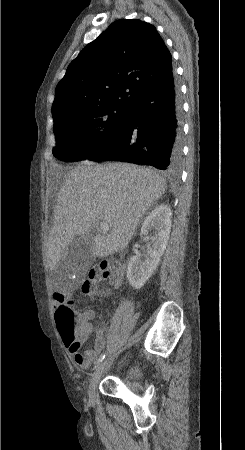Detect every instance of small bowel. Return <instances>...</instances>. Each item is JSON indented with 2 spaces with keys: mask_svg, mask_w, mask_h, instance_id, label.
Here are the masks:
<instances>
[{
  "mask_svg": "<svg viewBox=\"0 0 245 450\" xmlns=\"http://www.w3.org/2000/svg\"><path fill=\"white\" fill-rule=\"evenodd\" d=\"M89 291H92V288ZM111 294L112 293L110 290H106L102 293L103 296H110ZM78 319L88 323L89 332L93 331L95 333L96 339L94 343V349L88 350L84 354L80 352L81 344L86 338L80 339L78 345H76L75 343L69 344L65 342L64 343L72 361H74V363L80 367L87 368L90 365V363L96 358L97 354L100 353L105 347V337H104L105 328L101 325H95L93 323L95 319V313L93 311L84 312L79 316ZM78 356L82 357L81 362L77 360Z\"/></svg>",
  "mask_w": 245,
  "mask_h": 450,
  "instance_id": "obj_1",
  "label": "small bowel"
}]
</instances>
